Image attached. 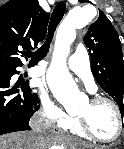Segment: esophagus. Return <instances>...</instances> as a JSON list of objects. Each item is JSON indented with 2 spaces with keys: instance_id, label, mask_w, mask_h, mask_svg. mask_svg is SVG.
I'll return each instance as SVG.
<instances>
[{
  "instance_id": "34e87169",
  "label": "esophagus",
  "mask_w": 124,
  "mask_h": 149,
  "mask_svg": "<svg viewBox=\"0 0 124 149\" xmlns=\"http://www.w3.org/2000/svg\"><path fill=\"white\" fill-rule=\"evenodd\" d=\"M52 133L53 134H59V129L58 128H53Z\"/></svg>"
}]
</instances>
